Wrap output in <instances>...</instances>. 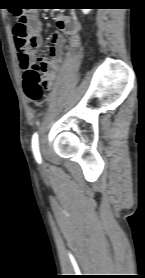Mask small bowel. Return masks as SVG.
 <instances>
[{"label":"small bowel","mask_w":145,"mask_h":278,"mask_svg":"<svg viewBox=\"0 0 145 278\" xmlns=\"http://www.w3.org/2000/svg\"><path fill=\"white\" fill-rule=\"evenodd\" d=\"M23 18L26 21L29 34L27 44L22 47L24 48L22 52H19L17 44L16 46L19 57V66L25 72L31 66L32 55L28 52V47H32L34 53L43 49V26L39 19L38 11L35 9L29 10ZM56 24L61 32L53 35L51 45L48 50V57L45 61L46 84L48 88L52 87L56 78L57 70L61 62V55L64 49L67 46L77 48L79 45V32L81 28L79 21L68 16L61 15L57 18ZM16 41L17 38H15V42Z\"/></svg>","instance_id":"c3829d8e"}]
</instances>
